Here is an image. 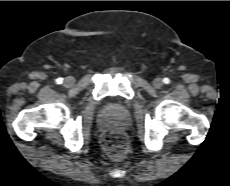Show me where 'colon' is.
<instances>
[{
  "label": "colon",
  "instance_id": "1",
  "mask_svg": "<svg viewBox=\"0 0 230 186\" xmlns=\"http://www.w3.org/2000/svg\"><path fill=\"white\" fill-rule=\"evenodd\" d=\"M102 146L113 159H122L128 152L127 138L120 130H107L102 136Z\"/></svg>",
  "mask_w": 230,
  "mask_h": 186
}]
</instances>
